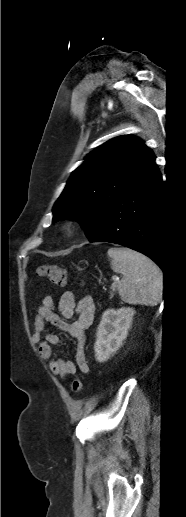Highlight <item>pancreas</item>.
Wrapping results in <instances>:
<instances>
[{
    "label": "pancreas",
    "instance_id": "1",
    "mask_svg": "<svg viewBox=\"0 0 186 517\" xmlns=\"http://www.w3.org/2000/svg\"><path fill=\"white\" fill-rule=\"evenodd\" d=\"M116 287H117V285H116V283H114V284L112 285V287H111L112 291L110 292V294H111V295H110V298H112V297H113V295H114V293H113V292H114V291H116Z\"/></svg>",
    "mask_w": 186,
    "mask_h": 517
}]
</instances>
